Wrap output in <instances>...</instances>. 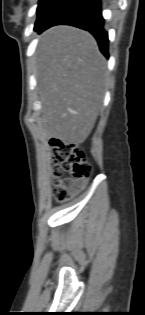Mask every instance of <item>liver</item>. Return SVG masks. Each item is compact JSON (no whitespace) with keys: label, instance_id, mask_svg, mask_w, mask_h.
<instances>
[{"label":"liver","instance_id":"obj_1","mask_svg":"<svg viewBox=\"0 0 145 315\" xmlns=\"http://www.w3.org/2000/svg\"><path fill=\"white\" fill-rule=\"evenodd\" d=\"M36 57L46 134L65 143H83L97 120L107 79L96 40L75 27H53L42 34Z\"/></svg>","mask_w":145,"mask_h":315}]
</instances>
